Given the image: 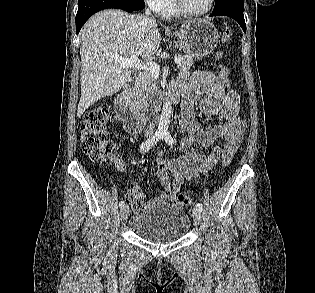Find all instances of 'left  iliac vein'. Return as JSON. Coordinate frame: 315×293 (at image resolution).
<instances>
[{
    "mask_svg": "<svg viewBox=\"0 0 315 293\" xmlns=\"http://www.w3.org/2000/svg\"><path fill=\"white\" fill-rule=\"evenodd\" d=\"M192 216H193V219L196 223H200L201 222V218H202V213H201V210L198 209L197 207L193 208L192 210Z\"/></svg>",
    "mask_w": 315,
    "mask_h": 293,
    "instance_id": "left-iliac-vein-1",
    "label": "left iliac vein"
}]
</instances>
